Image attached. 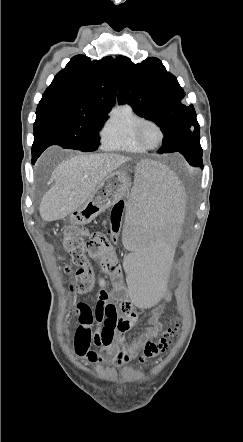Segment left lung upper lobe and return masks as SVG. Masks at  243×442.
<instances>
[{
    "instance_id": "obj_1",
    "label": "left lung upper lobe",
    "mask_w": 243,
    "mask_h": 442,
    "mask_svg": "<svg viewBox=\"0 0 243 442\" xmlns=\"http://www.w3.org/2000/svg\"><path fill=\"white\" fill-rule=\"evenodd\" d=\"M119 71V104L128 103L135 113L153 120L164 133L158 153L182 155L200 145V127L193 105L182 103L185 92L162 62L150 57L134 64L125 56L116 58ZM192 165L202 166V163Z\"/></svg>"
}]
</instances>
